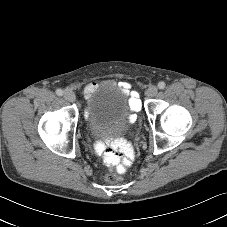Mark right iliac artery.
Listing matches in <instances>:
<instances>
[{"label": "right iliac artery", "mask_w": 227, "mask_h": 227, "mask_svg": "<svg viewBox=\"0 0 227 227\" xmlns=\"http://www.w3.org/2000/svg\"><path fill=\"white\" fill-rule=\"evenodd\" d=\"M56 94H57L58 96H62V95H63V91H62L61 89H57V90H56Z\"/></svg>", "instance_id": "right-iliac-artery-1"}]
</instances>
